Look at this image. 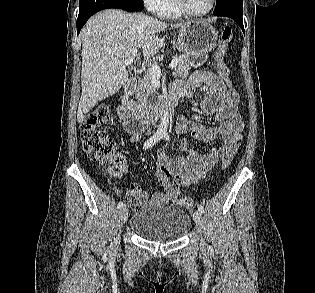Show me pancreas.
Returning a JSON list of instances; mask_svg holds the SVG:
<instances>
[{"mask_svg": "<svg viewBox=\"0 0 315 293\" xmlns=\"http://www.w3.org/2000/svg\"><path fill=\"white\" fill-rule=\"evenodd\" d=\"M177 59L179 60L178 65L176 66V76L181 79H186L189 75L190 69V60L186 56H178ZM135 92V99L130 100V105L137 111L142 114H145L150 109V104H148V98L151 95H157L156 88L153 84V76L151 75L150 71L138 81V84L134 90Z\"/></svg>", "mask_w": 315, "mask_h": 293, "instance_id": "pancreas-1", "label": "pancreas"}]
</instances>
